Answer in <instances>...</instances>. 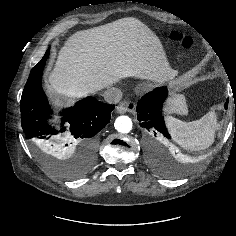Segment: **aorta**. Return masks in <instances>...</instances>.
Returning <instances> with one entry per match:
<instances>
[{
    "mask_svg": "<svg viewBox=\"0 0 236 236\" xmlns=\"http://www.w3.org/2000/svg\"><path fill=\"white\" fill-rule=\"evenodd\" d=\"M132 125V120L128 116H119L114 123L115 129L120 133H129Z\"/></svg>",
    "mask_w": 236,
    "mask_h": 236,
    "instance_id": "aorta-1",
    "label": "aorta"
}]
</instances>
